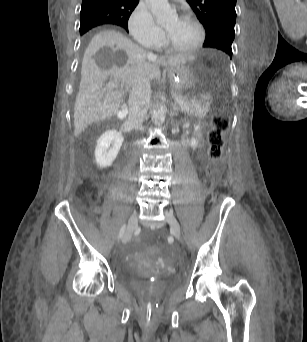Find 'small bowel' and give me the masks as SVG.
<instances>
[{
  "label": "small bowel",
  "instance_id": "1",
  "mask_svg": "<svg viewBox=\"0 0 307 342\" xmlns=\"http://www.w3.org/2000/svg\"><path fill=\"white\" fill-rule=\"evenodd\" d=\"M196 136H197L198 138H201V133H200V132H196Z\"/></svg>",
  "mask_w": 307,
  "mask_h": 342
}]
</instances>
